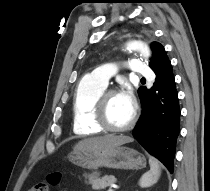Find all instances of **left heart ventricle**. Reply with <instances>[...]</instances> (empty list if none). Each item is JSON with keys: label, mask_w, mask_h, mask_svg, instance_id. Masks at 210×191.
Here are the masks:
<instances>
[{"label": "left heart ventricle", "mask_w": 210, "mask_h": 191, "mask_svg": "<svg viewBox=\"0 0 210 191\" xmlns=\"http://www.w3.org/2000/svg\"><path fill=\"white\" fill-rule=\"evenodd\" d=\"M132 107L126 104L119 94L112 95L107 100V118L111 126L126 125L132 115Z\"/></svg>", "instance_id": "1"}]
</instances>
